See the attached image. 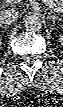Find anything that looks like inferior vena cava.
Listing matches in <instances>:
<instances>
[{
  "mask_svg": "<svg viewBox=\"0 0 63 107\" xmlns=\"http://www.w3.org/2000/svg\"><path fill=\"white\" fill-rule=\"evenodd\" d=\"M18 17V12L14 9H3L0 12V25L12 24Z\"/></svg>",
  "mask_w": 63,
  "mask_h": 107,
  "instance_id": "obj_1",
  "label": "inferior vena cava"
}]
</instances>
